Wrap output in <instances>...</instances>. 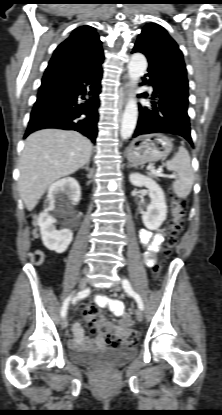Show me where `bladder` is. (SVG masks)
I'll list each match as a JSON object with an SVG mask.
<instances>
[{
    "label": "bladder",
    "mask_w": 222,
    "mask_h": 415,
    "mask_svg": "<svg viewBox=\"0 0 222 415\" xmlns=\"http://www.w3.org/2000/svg\"><path fill=\"white\" fill-rule=\"evenodd\" d=\"M137 346L127 344L121 347H106L102 349H81L71 347L68 358L80 365H95L104 363L110 366H121L133 360L137 355Z\"/></svg>",
    "instance_id": "1"
}]
</instances>
